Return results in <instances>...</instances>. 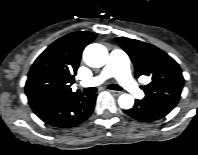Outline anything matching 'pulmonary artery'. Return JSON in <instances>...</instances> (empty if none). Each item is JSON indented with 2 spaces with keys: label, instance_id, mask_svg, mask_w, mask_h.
Masks as SVG:
<instances>
[{
  "label": "pulmonary artery",
  "instance_id": "obj_1",
  "mask_svg": "<svg viewBox=\"0 0 198 155\" xmlns=\"http://www.w3.org/2000/svg\"><path fill=\"white\" fill-rule=\"evenodd\" d=\"M110 78H115L123 87H125L137 98H143V91L139 88L131 76L129 69V58L120 50L112 51L108 62L101 73L90 79L82 81L81 85L84 87L96 86Z\"/></svg>",
  "mask_w": 198,
  "mask_h": 155
}]
</instances>
